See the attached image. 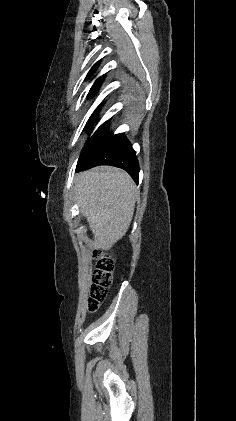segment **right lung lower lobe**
<instances>
[{
	"label": "right lung lower lobe",
	"instance_id": "1",
	"mask_svg": "<svg viewBox=\"0 0 236 421\" xmlns=\"http://www.w3.org/2000/svg\"><path fill=\"white\" fill-rule=\"evenodd\" d=\"M106 121L83 148L77 164V171L97 165H112L126 170L138 182L139 165L135 151L123 133L108 132Z\"/></svg>",
	"mask_w": 236,
	"mask_h": 421
}]
</instances>
